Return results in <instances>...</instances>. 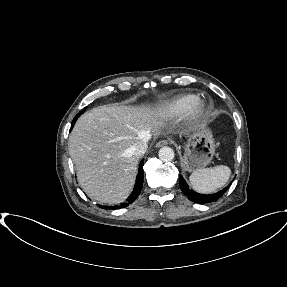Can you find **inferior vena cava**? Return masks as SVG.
I'll return each mask as SVG.
<instances>
[{"label":"inferior vena cava","instance_id":"inferior-vena-cava-1","mask_svg":"<svg viewBox=\"0 0 287 287\" xmlns=\"http://www.w3.org/2000/svg\"><path fill=\"white\" fill-rule=\"evenodd\" d=\"M150 139V136L146 137L143 140L138 141L131 147V151L136 156H141L145 154L147 147H148V140Z\"/></svg>","mask_w":287,"mask_h":287}]
</instances>
